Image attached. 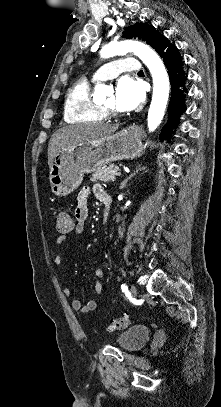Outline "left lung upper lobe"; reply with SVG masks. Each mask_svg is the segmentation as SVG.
Instances as JSON below:
<instances>
[{"label": "left lung upper lobe", "instance_id": "1", "mask_svg": "<svg viewBox=\"0 0 221 407\" xmlns=\"http://www.w3.org/2000/svg\"><path fill=\"white\" fill-rule=\"evenodd\" d=\"M162 34L157 31L153 26L146 23H137L130 27H126L123 37L125 38H139L146 41L153 49H157L159 39Z\"/></svg>", "mask_w": 221, "mask_h": 407}]
</instances>
